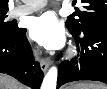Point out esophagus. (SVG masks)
<instances>
[{"instance_id": "obj_1", "label": "esophagus", "mask_w": 107, "mask_h": 89, "mask_svg": "<svg viewBox=\"0 0 107 89\" xmlns=\"http://www.w3.org/2000/svg\"><path fill=\"white\" fill-rule=\"evenodd\" d=\"M40 65L42 71L46 72L51 65V61L49 59H42Z\"/></svg>"}]
</instances>
